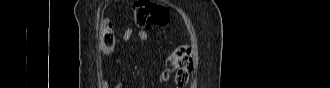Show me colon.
I'll list each match as a JSON object with an SVG mask.
<instances>
[{
	"label": "colon",
	"mask_w": 330,
	"mask_h": 88,
	"mask_svg": "<svg viewBox=\"0 0 330 88\" xmlns=\"http://www.w3.org/2000/svg\"><path fill=\"white\" fill-rule=\"evenodd\" d=\"M134 22L141 28H152L163 26L167 23L166 10L150 1L140 0L133 6ZM116 44V37L109 23H104L101 28L100 47L105 54L112 53ZM193 55L189 46L180 45L176 47L165 63L162 79L167 80L175 73V81L179 86L185 85L193 69Z\"/></svg>",
	"instance_id": "1"
}]
</instances>
